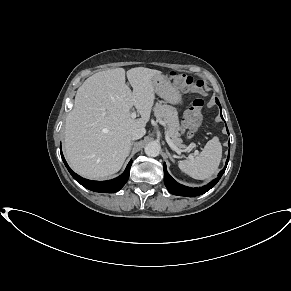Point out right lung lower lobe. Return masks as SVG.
<instances>
[{
	"instance_id": "obj_1",
	"label": "right lung lower lobe",
	"mask_w": 291,
	"mask_h": 291,
	"mask_svg": "<svg viewBox=\"0 0 291 291\" xmlns=\"http://www.w3.org/2000/svg\"><path fill=\"white\" fill-rule=\"evenodd\" d=\"M61 157L68 171L77 182H79L82 186H84L85 188L91 191L102 192V193H114V192L119 191L125 185V183L127 182L129 178V171L132 164V161H130L125 171L115 179L108 180V181H92V180L84 179L81 176L77 175L75 172H73L68 166L67 162L65 161L62 151H61Z\"/></svg>"
}]
</instances>
